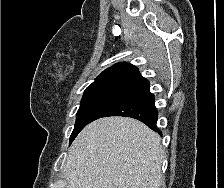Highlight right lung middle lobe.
Listing matches in <instances>:
<instances>
[{"instance_id":"dd1d6c3e","label":"right lung middle lobe","mask_w":224,"mask_h":188,"mask_svg":"<svg viewBox=\"0 0 224 188\" xmlns=\"http://www.w3.org/2000/svg\"><path fill=\"white\" fill-rule=\"evenodd\" d=\"M130 82L122 79L100 80L94 81L86 88L76 115V123L70 136V144L89 123L95 112Z\"/></svg>"}]
</instances>
